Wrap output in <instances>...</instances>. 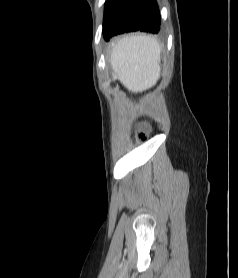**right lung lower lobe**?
Masks as SVG:
<instances>
[{"label":"right lung lower lobe","mask_w":238,"mask_h":278,"mask_svg":"<svg viewBox=\"0 0 238 278\" xmlns=\"http://www.w3.org/2000/svg\"><path fill=\"white\" fill-rule=\"evenodd\" d=\"M160 13L155 0H106L103 35L105 40L112 36L144 31L158 33Z\"/></svg>","instance_id":"1"}]
</instances>
